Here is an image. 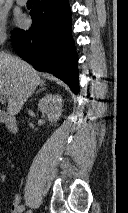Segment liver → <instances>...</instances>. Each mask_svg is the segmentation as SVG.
I'll return each instance as SVG.
<instances>
[{
	"label": "liver",
	"mask_w": 128,
	"mask_h": 213,
	"mask_svg": "<svg viewBox=\"0 0 128 213\" xmlns=\"http://www.w3.org/2000/svg\"><path fill=\"white\" fill-rule=\"evenodd\" d=\"M43 81L39 73L22 59L0 52V95L8 99L7 111L18 114Z\"/></svg>",
	"instance_id": "1"
}]
</instances>
